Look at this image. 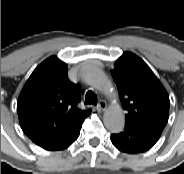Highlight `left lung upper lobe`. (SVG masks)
<instances>
[{
	"label": "left lung upper lobe",
	"mask_w": 184,
	"mask_h": 174,
	"mask_svg": "<svg viewBox=\"0 0 184 174\" xmlns=\"http://www.w3.org/2000/svg\"><path fill=\"white\" fill-rule=\"evenodd\" d=\"M112 76L125 115V127L161 135L169 117V96L148 65L131 52L116 61Z\"/></svg>",
	"instance_id": "left-lung-upper-lobe-1"
}]
</instances>
